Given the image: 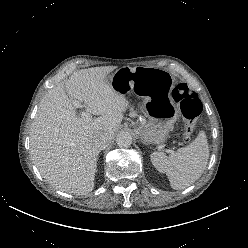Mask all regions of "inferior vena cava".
I'll return each mask as SVG.
<instances>
[{
  "mask_svg": "<svg viewBox=\"0 0 248 248\" xmlns=\"http://www.w3.org/2000/svg\"><path fill=\"white\" fill-rule=\"evenodd\" d=\"M111 138L107 134H99L93 139V146L100 150H104L110 143Z\"/></svg>",
  "mask_w": 248,
  "mask_h": 248,
  "instance_id": "obj_1",
  "label": "inferior vena cava"
}]
</instances>
